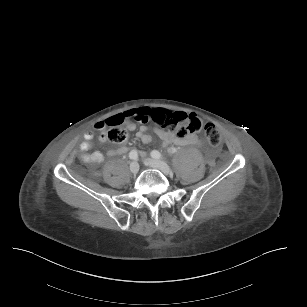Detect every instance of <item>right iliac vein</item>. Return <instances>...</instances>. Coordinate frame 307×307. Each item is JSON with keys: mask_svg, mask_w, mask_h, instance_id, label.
<instances>
[{"mask_svg": "<svg viewBox=\"0 0 307 307\" xmlns=\"http://www.w3.org/2000/svg\"><path fill=\"white\" fill-rule=\"evenodd\" d=\"M139 168H140L139 163L136 162V161H134V162H132V163L130 164V171H131V173H133V174H137L138 171H139Z\"/></svg>", "mask_w": 307, "mask_h": 307, "instance_id": "63e3f726", "label": "right iliac vein"}]
</instances>
